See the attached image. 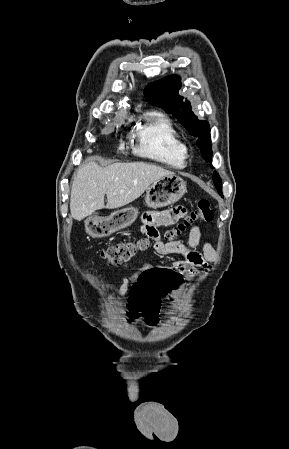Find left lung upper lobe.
Wrapping results in <instances>:
<instances>
[{
	"mask_svg": "<svg viewBox=\"0 0 289 449\" xmlns=\"http://www.w3.org/2000/svg\"><path fill=\"white\" fill-rule=\"evenodd\" d=\"M180 88V78L170 76L148 85L144 90V95L150 104L174 115L189 132L198 138L197 145L203 158L205 161L211 162L212 149L209 124L207 121L198 119L192 112L188 101H182L183 97L179 95ZM210 166L213 168L212 165ZM212 179L219 194L222 195V181L216 171L213 173Z\"/></svg>",
	"mask_w": 289,
	"mask_h": 449,
	"instance_id": "5c2ea615",
	"label": "left lung upper lobe"
}]
</instances>
